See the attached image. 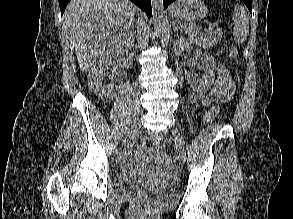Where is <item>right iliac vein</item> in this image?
Instances as JSON below:
<instances>
[{
	"label": "right iliac vein",
	"mask_w": 293,
	"mask_h": 219,
	"mask_svg": "<svg viewBox=\"0 0 293 219\" xmlns=\"http://www.w3.org/2000/svg\"><path fill=\"white\" fill-rule=\"evenodd\" d=\"M140 128H141L140 120H136L132 124V126L130 127L127 135L125 136V138L123 140V142L127 143L134 135H136L140 131Z\"/></svg>",
	"instance_id": "right-iliac-vein-1"
}]
</instances>
